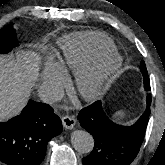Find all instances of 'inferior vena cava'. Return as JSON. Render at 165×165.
Wrapping results in <instances>:
<instances>
[{
    "label": "inferior vena cava",
    "instance_id": "inferior-vena-cava-1",
    "mask_svg": "<svg viewBox=\"0 0 165 165\" xmlns=\"http://www.w3.org/2000/svg\"><path fill=\"white\" fill-rule=\"evenodd\" d=\"M38 95L43 102L52 104L61 98L62 89L58 85L43 84L38 90Z\"/></svg>",
    "mask_w": 165,
    "mask_h": 165
}]
</instances>
